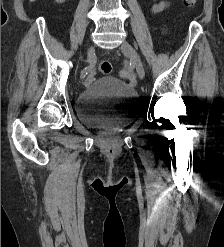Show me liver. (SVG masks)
Instances as JSON below:
<instances>
[{"label": "liver", "instance_id": "1", "mask_svg": "<svg viewBox=\"0 0 224 247\" xmlns=\"http://www.w3.org/2000/svg\"><path fill=\"white\" fill-rule=\"evenodd\" d=\"M30 2H35V0H30Z\"/></svg>", "mask_w": 224, "mask_h": 247}]
</instances>
